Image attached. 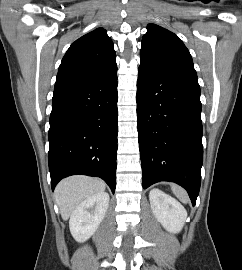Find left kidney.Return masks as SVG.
Instances as JSON below:
<instances>
[{
    "mask_svg": "<svg viewBox=\"0 0 242 270\" xmlns=\"http://www.w3.org/2000/svg\"><path fill=\"white\" fill-rule=\"evenodd\" d=\"M149 200L153 214L167 231L178 233L182 230L187 212L176 199L159 189H152Z\"/></svg>",
    "mask_w": 242,
    "mask_h": 270,
    "instance_id": "left-kidney-1",
    "label": "left kidney"
}]
</instances>
